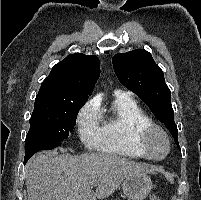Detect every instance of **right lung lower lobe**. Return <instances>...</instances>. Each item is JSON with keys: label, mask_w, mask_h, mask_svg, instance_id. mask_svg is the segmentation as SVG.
Listing matches in <instances>:
<instances>
[{"label": "right lung lower lobe", "mask_w": 201, "mask_h": 200, "mask_svg": "<svg viewBox=\"0 0 201 200\" xmlns=\"http://www.w3.org/2000/svg\"><path fill=\"white\" fill-rule=\"evenodd\" d=\"M61 145L60 142L47 141L43 139L25 141V157L24 164L34 155L36 152L45 149H54Z\"/></svg>", "instance_id": "1"}]
</instances>
